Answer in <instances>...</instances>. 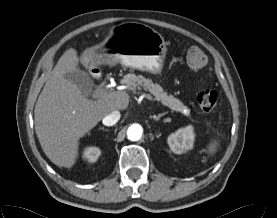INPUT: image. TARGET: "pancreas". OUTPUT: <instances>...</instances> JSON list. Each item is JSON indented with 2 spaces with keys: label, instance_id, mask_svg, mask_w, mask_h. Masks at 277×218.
<instances>
[{
  "label": "pancreas",
  "instance_id": "obj_1",
  "mask_svg": "<svg viewBox=\"0 0 277 218\" xmlns=\"http://www.w3.org/2000/svg\"><path fill=\"white\" fill-rule=\"evenodd\" d=\"M121 83L125 84L133 91L141 90L142 88L148 90L155 99L161 102L164 106H167L173 111L180 112L184 116L190 117V110L183 104V102L175 98L173 95H168L159 84H154L151 80L146 79L141 75L137 76L133 73H129L123 77Z\"/></svg>",
  "mask_w": 277,
  "mask_h": 218
}]
</instances>
